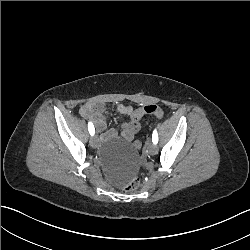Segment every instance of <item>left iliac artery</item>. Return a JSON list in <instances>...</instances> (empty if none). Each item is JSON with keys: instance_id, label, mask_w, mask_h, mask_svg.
<instances>
[{"instance_id": "1", "label": "left iliac artery", "mask_w": 250, "mask_h": 250, "mask_svg": "<svg viewBox=\"0 0 250 250\" xmlns=\"http://www.w3.org/2000/svg\"><path fill=\"white\" fill-rule=\"evenodd\" d=\"M152 142L154 144L158 143V134H157V130L156 129L153 131V134H152Z\"/></svg>"}]
</instances>
